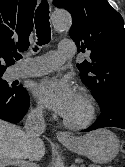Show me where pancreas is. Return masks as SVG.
I'll use <instances>...</instances> for the list:
<instances>
[{
	"label": "pancreas",
	"mask_w": 125,
	"mask_h": 167,
	"mask_svg": "<svg viewBox=\"0 0 125 167\" xmlns=\"http://www.w3.org/2000/svg\"><path fill=\"white\" fill-rule=\"evenodd\" d=\"M81 167H84L83 165ZM90 167H100L98 165H91Z\"/></svg>",
	"instance_id": "pancreas-1"
}]
</instances>
